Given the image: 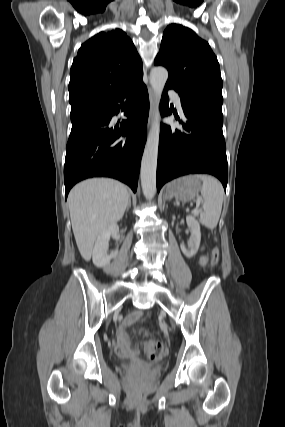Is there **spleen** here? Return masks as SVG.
<instances>
[{
	"label": "spleen",
	"mask_w": 285,
	"mask_h": 427,
	"mask_svg": "<svg viewBox=\"0 0 285 427\" xmlns=\"http://www.w3.org/2000/svg\"><path fill=\"white\" fill-rule=\"evenodd\" d=\"M194 177L203 182L201 187L203 211L200 213V221L205 227L214 229L222 210L224 196L222 185L209 175L199 174Z\"/></svg>",
	"instance_id": "obj_1"
}]
</instances>
